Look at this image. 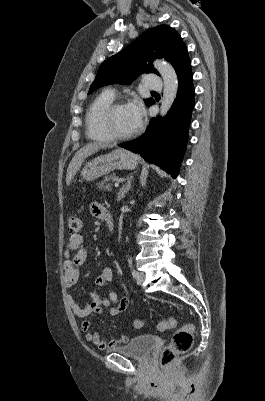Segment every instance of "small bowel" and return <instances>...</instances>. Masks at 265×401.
<instances>
[{
	"instance_id": "1",
	"label": "small bowel",
	"mask_w": 265,
	"mask_h": 401,
	"mask_svg": "<svg viewBox=\"0 0 265 401\" xmlns=\"http://www.w3.org/2000/svg\"><path fill=\"white\" fill-rule=\"evenodd\" d=\"M107 210L98 202H92L90 205L91 214L103 219ZM66 260L63 263L64 283L67 287L74 286L79 279V269L86 262L87 251L83 245V237L80 234L71 235L68 239L67 248L64 251ZM113 276L112 269L105 267L96 278V284L105 288L111 282ZM67 301L72 308L75 316L80 319H85L91 314L102 313L104 308L110 307V314L113 317H118L128 307V299H119L118 295L113 290H106V294L101 296L97 292H92L90 300L83 306L78 305L71 295L67 296ZM125 306V308H123ZM81 331L88 342L95 344L99 349H112L117 345L125 344L128 338L124 335L111 339L109 341L102 340L98 332L92 331L91 323L87 320L81 322Z\"/></svg>"
}]
</instances>
